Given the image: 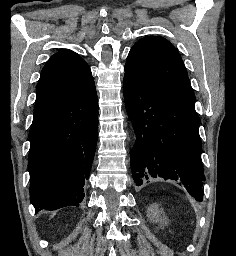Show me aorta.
I'll list each match as a JSON object with an SVG mask.
<instances>
[{
	"instance_id": "1",
	"label": "aorta",
	"mask_w": 236,
	"mask_h": 256,
	"mask_svg": "<svg viewBox=\"0 0 236 256\" xmlns=\"http://www.w3.org/2000/svg\"><path fill=\"white\" fill-rule=\"evenodd\" d=\"M132 135H133V142L136 140V135L134 134V131L132 130Z\"/></svg>"
}]
</instances>
